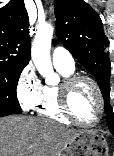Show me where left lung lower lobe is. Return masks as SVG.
Returning <instances> with one entry per match:
<instances>
[{"label":"left lung lower lobe","mask_w":114,"mask_h":156,"mask_svg":"<svg viewBox=\"0 0 114 156\" xmlns=\"http://www.w3.org/2000/svg\"><path fill=\"white\" fill-rule=\"evenodd\" d=\"M111 131V133L114 135V129H112V130H110Z\"/></svg>","instance_id":"0a47b994"}]
</instances>
